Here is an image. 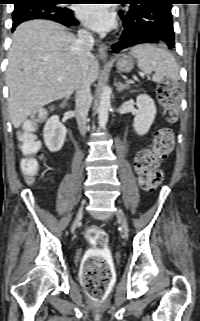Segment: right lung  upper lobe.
Instances as JSON below:
<instances>
[{"mask_svg":"<svg viewBox=\"0 0 200 321\" xmlns=\"http://www.w3.org/2000/svg\"><path fill=\"white\" fill-rule=\"evenodd\" d=\"M34 0H15V6L17 5H22V4H27L29 2H32Z\"/></svg>","mask_w":200,"mask_h":321,"instance_id":"obj_1","label":"right lung upper lobe"}]
</instances>
